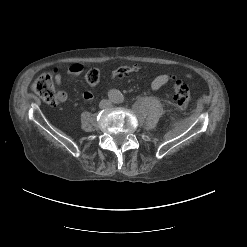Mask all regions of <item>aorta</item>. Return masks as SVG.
I'll return each mask as SVG.
<instances>
[{"label":"aorta","instance_id":"1","mask_svg":"<svg viewBox=\"0 0 247 247\" xmlns=\"http://www.w3.org/2000/svg\"><path fill=\"white\" fill-rule=\"evenodd\" d=\"M109 99L114 103H120L123 99L122 93L117 89H112L108 92Z\"/></svg>","mask_w":247,"mask_h":247}]
</instances>
